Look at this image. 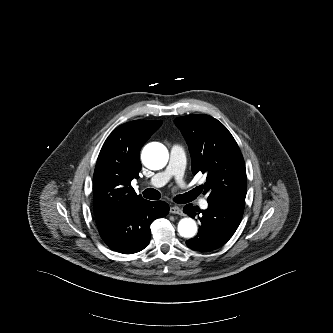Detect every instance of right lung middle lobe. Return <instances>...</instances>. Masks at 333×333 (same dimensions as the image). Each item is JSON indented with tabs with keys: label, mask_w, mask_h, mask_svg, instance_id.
Here are the masks:
<instances>
[{
	"label": "right lung middle lobe",
	"mask_w": 333,
	"mask_h": 333,
	"mask_svg": "<svg viewBox=\"0 0 333 333\" xmlns=\"http://www.w3.org/2000/svg\"><path fill=\"white\" fill-rule=\"evenodd\" d=\"M128 205L124 203H109V204H99V205H94V212L95 214H99L103 217L109 216L111 214L117 213L124 208H126Z\"/></svg>",
	"instance_id": "obj_1"
}]
</instances>
